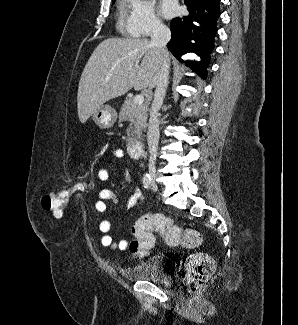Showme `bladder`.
I'll return each instance as SVG.
<instances>
[{"label":"bladder","mask_w":298,"mask_h":325,"mask_svg":"<svg viewBox=\"0 0 298 325\" xmlns=\"http://www.w3.org/2000/svg\"><path fill=\"white\" fill-rule=\"evenodd\" d=\"M121 274L128 281L151 282L165 286L171 284V280L163 271L158 257H152L135 265L125 267L122 269Z\"/></svg>","instance_id":"bladder-1"}]
</instances>
